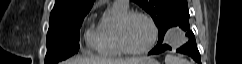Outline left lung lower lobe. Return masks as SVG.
<instances>
[{"label": "left lung lower lobe", "instance_id": "0a47b994", "mask_svg": "<svg viewBox=\"0 0 242 64\" xmlns=\"http://www.w3.org/2000/svg\"><path fill=\"white\" fill-rule=\"evenodd\" d=\"M182 30L187 31V36L190 38L189 41L177 49L178 53L186 54L192 57L198 64H201L200 53L198 51L195 37L193 32L190 30L189 20L183 21L178 25ZM171 47L165 43L157 44V46L149 52V55L160 54L166 50H170Z\"/></svg>", "mask_w": 242, "mask_h": 64}]
</instances>
